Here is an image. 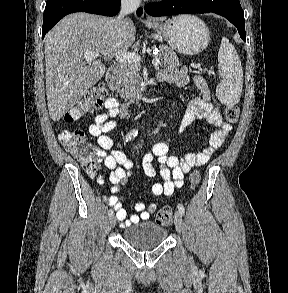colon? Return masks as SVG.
I'll return each mask as SVG.
<instances>
[{
    "instance_id": "colon-1",
    "label": "colon",
    "mask_w": 288,
    "mask_h": 293,
    "mask_svg": "<svg viewBox=\"0 0 288 293\" xmlns=\"http://www.w3.org/2000/svg\"><path fill=\"white\" fill-rule=\"evenodd\" d=\"M109 97L110 92L106 84L104 82L98 83L74 107L66 112L64 120L72 123L83 119L105 104ZM224 115L229 123H236L239 119V109L236 106H229L225 109ZM58 139L88 175L94 176L96 174L95 150L87 141V137L82 130H62L58 135ZM200 179V173L197 170L192 171L188 179L189 187L191 189L197 188ZM172 214V208H162L156 214V222L160 225H168L172 221Z\"/></svg>"
}]
</instances>
